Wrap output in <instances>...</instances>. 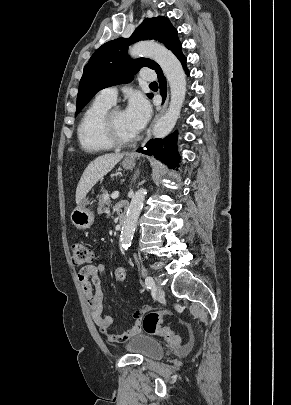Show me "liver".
Masks as SVG:
<instances>
[{
  "mask_svg": "<svg viewBox=\"0 0 291 405\" xmlns=\"http://www.w3.org/2000/svg\"><path fill=\"white\" fill-rule=\"evenodd\" d=\"M124 154H105L93 160L84 170L76 189V204L123 158Z\"/></svg>",
  "mask_w": 291,
  "mask_h": 405,
  "instance_id": "6515ba94",
  "label": "liver"
}]
</instances>
